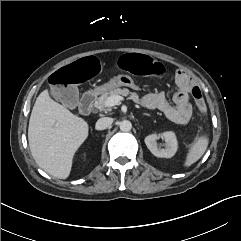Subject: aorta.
<instances>
[{
	"label": "aorta",
	"instance_id": "1",
	"mask_svg": "<svg viewBox=\"0 0 241 241\" xmlns=\"http://www.w3.org/2000/svg\"><path fill=\"white\" fill-rule=\"evenodd\" d=\"M120 130L123 132H129L132 129V123L129 120H123L119 124Z\"/></svg>",
	"mask_w": 241,
	"mask_h": 241
}]
</instances>
